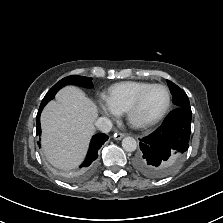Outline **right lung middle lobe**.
Wrapping results in <instances>:
<instances>
[{"label": "right lung middle lobe", "instance_id": "obj_1", "mask_svg": "<svg viewBox=\"0 0 223 223\" xmlns=\"http://www.w3.org/2000/svg\"><path fill=\"white\" fill-rule=\"evenodd\" d=\"M68 84H74L77 86H82L86 88H91L93 86L92 84V78L90 77H85V76H78V75H71L68 77L63 78L59 82H57L45 95L43 98L42 102L44 101H50L53 99L55 94L65 85Z\"/></svg>", "mask_w": 223, "mask_h": 223}]
</instances>
